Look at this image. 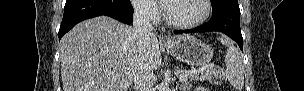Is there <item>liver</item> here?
I'll return each instance as SVG.
<instances>
[{
  "label": "liver",
  "instance_id": "obj_1",
  "mask_svg": "<svg viewBox=\"0 0 304 91\" xmlns=\"http://www.w3.org/2000/svg\"><path fill=\"white\" fill-rule=\"evenodd\" d=\"M144 46L137 51L133 27L110 17L80 22L60 41L63 91H127L138 62L153 70L161 66L156 35Z\"/></svg>",
  "mask_w": 304,
  "mask_h": 91
}]
</instances>
